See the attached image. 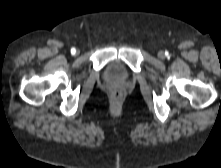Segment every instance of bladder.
<instances>
[{
  "instance_id": "obj_1",
  "label": "bladder",
  "mask_w": 221,
  "mask_h": 168,
  "mask_svg": "<svg viewBox=\"0 0 221 168\" xmlns=\"http://www.w3.org/2000/svg\"><path fill=\"white\" fill-rule=\"evenodd\" d=\"M107 75L110 78H120L123 76V65L118 61L112 62L107 67Z\"/></svg>"
}]
</instances>
